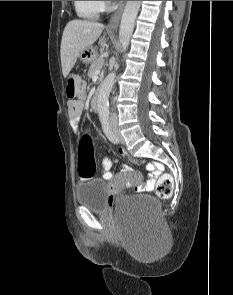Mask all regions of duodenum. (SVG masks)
Listing matches in <instances>:
<instances>
[{
	"mask_svg": "<svg viewBox=\"0 0 233 295\" xmlns=\"http://www.w3.org/2000/svg\"><path fill=\"white\" fill-rule=\"evenodd\" d=\"M99 93H97L96 95H94V97L91 100V107L93 108V110L98 111L99 108Z\"/></svg>",
	"mask_w": 233,
	"mask_h": 295,
	"instance_id": "1",
	"label": "duodenum"
}]
</instances>
